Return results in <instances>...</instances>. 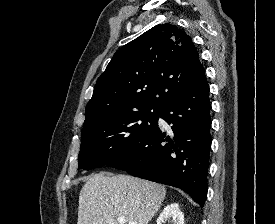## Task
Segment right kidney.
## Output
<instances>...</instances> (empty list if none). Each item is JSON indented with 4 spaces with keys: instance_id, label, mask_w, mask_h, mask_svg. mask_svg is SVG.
<instances>
[{
    "instance_id": "right-kidney-1",
    "label": "right kidney",
    "mask_w": 275,
    "mask_h": 224,
    "mask_svg": "<svg viewBox=\"0 0 275 224\" xmlns=\"http://www.w3.org/2000/svg\"><path fill=\"white\" fill-rule=\"evenodd\" d=\"M184 224V215L177 203L167 205L160 213L157 224Z\"/></svg>"
}]
</instances>
